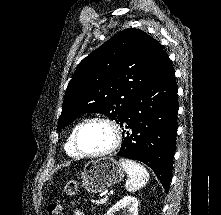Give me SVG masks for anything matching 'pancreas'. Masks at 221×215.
I'll list each match as a JSON object with an SVG mask.
<instances>
[{"label":"pancreas","mask_w":221,"mask_h":215,"mask_svg":"<svg viewBox=\"0 0 221 215\" xmlns=\"http://www.w3.org/2000/svg\"><path fill=\"white\" fill-rule=\"evenodd\" d=\"M92 202H93L95 205L99 206V205H104V204H106V203H107V200H104V199H101V200H92Z\"/></svg>","instance_id":"pancreas-1"}]
</instances>
